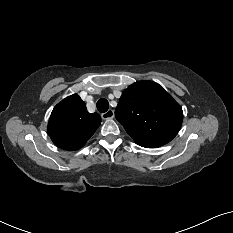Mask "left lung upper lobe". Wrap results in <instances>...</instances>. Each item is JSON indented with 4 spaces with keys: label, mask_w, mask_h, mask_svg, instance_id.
<instances>
[{
    "label": "left lung upper lobe",
    "mask_w": 233,
    "mask_h": 233,
    "mask_svg": "<svg viewBox=\"0 0 233 233\" xmlns=\"http://www.w3.org/2000/svg\"><path fill=\"white\" fill-rule=\"evenodd\" d=\"M115 116L136 144L156 148L177 135L183 111L159 84L139 81L123 92Z\"/></svg>",
    "instance_id": "obj_1"
}]
</instances>
